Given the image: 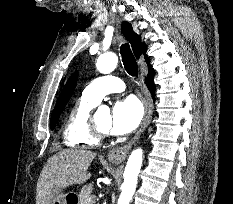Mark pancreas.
I'll return each mask as SVG.
<instances>
[{"label": "pancreas", "instance_id": "cf45deb5", "mask_svg": "<svg viewBox=\"0 0 233 204\" xmlns=\"http://www.w3.org/2000/svg\"><path fill=\"white\" fill-rule=\"evenodd\" d=\"M92 184L84 185L79 193V204H95V196L91 194Z\"/></svg>", "mask_w": 233, "mask_h": 204}]
</instances>
